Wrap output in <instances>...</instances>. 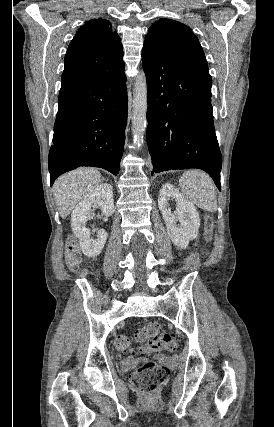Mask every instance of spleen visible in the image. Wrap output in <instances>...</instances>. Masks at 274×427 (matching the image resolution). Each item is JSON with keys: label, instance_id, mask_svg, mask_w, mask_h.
<instances>
[{"label": "spleen", "instance_id": "3e777b00", "mask_svg": "<svg viewBox=\"0 0 274 427\" xmlns=\"http://www.w3.org/2000/svg\"><path fill=\"white\" fill-rule=\"evenodd\" d=\"M181 192L191 204H196L205 212H216L217 198L215 186L208 174L200 170H188L180 178Z\"/></svg>", "mask_w": 274, "mask_h": 427}]
</instances>
